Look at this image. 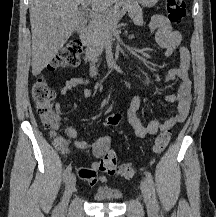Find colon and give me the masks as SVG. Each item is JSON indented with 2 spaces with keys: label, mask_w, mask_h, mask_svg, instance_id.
I'll list each match as a JSON object with an SVG mask.
<instances>
[{
  "label": "colon",
  "mask_w": 216,
  "mask_h": 217,
  "mask_svg": "<svg viewBox=\"0 0 216 217\" xmlns=\"http://www.w3.org/2000/svg\"><path fill=\"white\" fill-rule=\"evenodd\" d=\"M166 12L168 18L173 23H181L186 16V4L184 0H165ZM82 44L79 41H70L59 53L54 62L55 66L74 68L80 63ZM33 102L36 106L37 113L45 128L51 131L54 143L57 149L65 151L67 149L66 140L58 133L59 117L54 111L53 101L55 92L50 87L44 77L38 78L31 90ZM121 121L120 114L110 115L105 124L108 127L116 126ZM171 138L169 131L164 130L159 133L154 142V151L161 153L167 147ZM99 170L110 175L117 174L124 178H131L136 174V168L132 164H118L114 152L109 151L103 155L99 163Z\"/></svg>",
  "instance_id": "5ec220e1"
}]
</instances>
